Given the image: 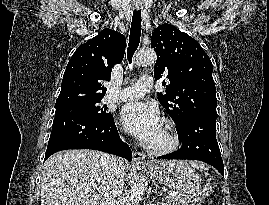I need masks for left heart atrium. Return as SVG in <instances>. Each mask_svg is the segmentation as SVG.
Wrapping results in <instances>:
<instances>
[{
	"mask_svg": "<svg viewBox=\"0 0 269 205\" xmlns=\"http://www.w3.org/2000/svg\"><path fill=\"white\" fill-rule=\"evenodd\" d=\"M120 118L126 131L148 144L153 142L162 128L158 108L152 103H127L121 108Z\"/></svg>",
	"mask_w": 269,
	"mask_h": 205,
	"instance_id": "39dd6f15",
	"label": "left heart atrium"
}]
</instances>
